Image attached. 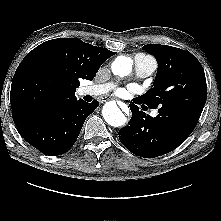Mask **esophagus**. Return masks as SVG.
<instances>
[{
  "label": "esophagus",
  "mask_w": 221,
  "mask_h": 221,
  "mask_svg": "<svg viewBox=\"0 0 221 221\" xmlns=\"http://www.w3.org/2000/svg\"><path fill=\"white\" fill-rule=\"evenodd\" d=\"M108 100H109L108 98H105L103 101L106 102V101H108ZM125 106H126V105H125L124 103L121 104V107H125Z\"/></svg>",
  "instance_id": "34e87169"
}]
</instances>
